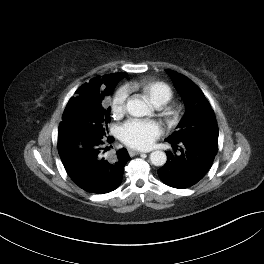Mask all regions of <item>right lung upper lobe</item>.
<instances>
[{
	"instance_id": "obj_1",
	"label": "right lung upper lobe",
	"mask_w": 264,
	"mask_h": 264,
	"mask_svg": "<svg viewBox=\"0 0 264 264\" xmlns=\"http://www.w3.org/2000/svg\"><path fill=\"white\" fill-rule=\"evenodd\" d=\"M125 76L126 73H114L91 79L89 83H85L76 91L75 97L70 99L62 118L65 119L67 117L73 106L85 104L93 100L95 96L101 95L105 89H108L113 85L115 86L116 83Z\"/></svg>"
}]
</instances>
